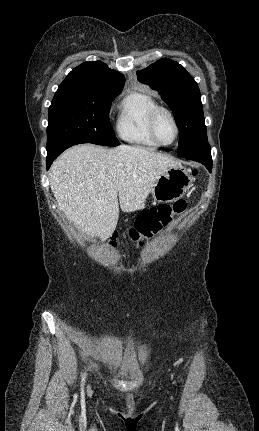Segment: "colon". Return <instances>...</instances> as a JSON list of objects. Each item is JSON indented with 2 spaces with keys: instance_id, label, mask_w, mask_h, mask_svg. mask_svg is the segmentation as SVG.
<instances>
[{
  "instance_id": "5ec220e1",
  "label": "colon",
  "mask_w": 259,
  "mask_h": 431,
  "mask_svg": "<svg viewBox=\"0 0 259 431\" xmlns=\"http://www.w3.org/2000/svg\"><path fill=\"white\" fill-rule=\"evenodd\" d=\"M192 176L197 174V170H191ZM187 208L184 200H178L172 205L159 204L145 211L136 220L134 227L129 231L130 239L138 246L142 245L144 238L151 237L159 233L168 225L173 216L183 213ZM117 234L111 237V244L115 245Z\"/></svg>"
}]
</instances>
